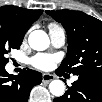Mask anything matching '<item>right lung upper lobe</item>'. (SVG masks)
I'll return each mask as SVG.
<instances>
[{
  "mask_svg": "<svg viewBox=\"0 0 102 102\" xmlns=\"http://www.w3.org/2000/svg\"><path fill=\"white\" fill-rule=\"evenodd\" d=\"M43 10H30L17 6L0 7V31H6L11 37L24 38L26 31L35 22Z\"/></svg>",
  "mask_w": 102,
  "mask_h": 102,
  "instance_id": "right-lung-upper-lobe-1",
  "label": "right lung upper lobe"
}]
</instances>
